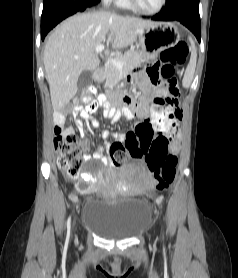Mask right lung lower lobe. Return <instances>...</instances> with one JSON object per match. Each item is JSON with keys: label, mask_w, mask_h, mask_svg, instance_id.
<instances>
[{"label": "right lung lower lobe", "mask_w": 238, "mask_h": 278, "mask_svg": "<svg viewBox=\"0 0 238 278\" xmlns=\"http://www.w3.org/2000/svg\"><path fill=\"white\" fill-rule=\"evenodd\" d=\"M100 0H43L41 38L63 19L99 3Z\"/></svg>", "instance_id": "right-lung-lower-lobe-1"}]
</instances>
